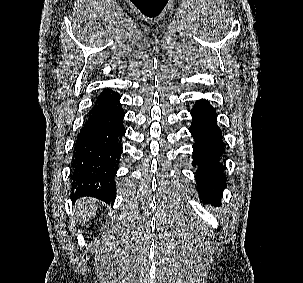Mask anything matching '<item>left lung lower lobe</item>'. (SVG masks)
<instances>
[{
  "label": "left lung lower lobe",
  "instance_id": "1",
  "mask_svg": "<svg viewBox=\"0 0 303 283\" xmlns=\"http://www.w3.org/2000/svg\"><path fill=\"white\" fill-rule=\"evenodd\" d=\"M193 122L190 132L195 139L193 166H198L196 178L200 197L214 203L220 201L225 177L219 162L223 153L222 136L216 123V112L206 101L200 100L191 111Z\"/></svg>",
  "mask_w": 303,
  "mask_h": 283
}]
</instances>
